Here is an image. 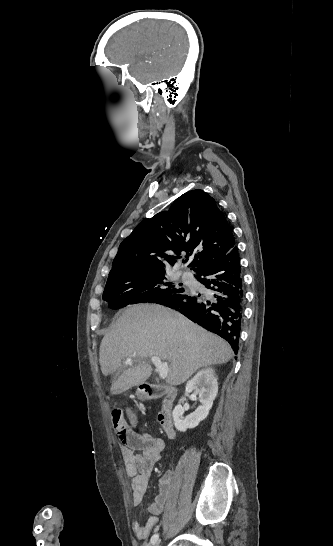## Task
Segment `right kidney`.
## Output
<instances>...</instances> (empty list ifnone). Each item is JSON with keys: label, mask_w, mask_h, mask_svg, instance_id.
I'll return each mask as SVG.
<instances>
[{"label": "right kidney", "mask_w": 333, "mask_h": 546, "mask_svg": "<svg viewBox=\"0 0 333 546\" xmlns=\"http://www.w3.org/2000/svg\"><path fill=\"white\" fill-rule=\"evenodd\" d=\"M186 393L194 392L199 394L201 405L190 415L183 418V413L187 409L181 405L185 398L179 400V404L174 408L172 417L175 428L178 431L184 432L187 429H192L204 420L213 405V401L217 396L218 383L213 368H205L199 371L186 385Z\"/></svg>", "instance_id": "right-kidney-1"}]
</instances>
